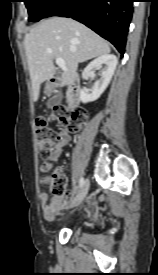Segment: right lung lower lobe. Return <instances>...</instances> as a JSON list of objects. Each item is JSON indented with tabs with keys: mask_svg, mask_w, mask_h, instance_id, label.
I'll list each match as a JSON object with an SVG mask.
<instances>
[{
	"mask_svg": "<svg viewBox=\"0 0 158 275\" xmlns=\"http://www.w3.org/2000/svg\"><path fill=\"white\" fill-rule=\"evenodd\" d=\"M134 0H59L44 18L71 17L110 41L124 54Z\"/></svg>",
	"mask_w": 158,
	"mask_h": 275,
	"instance_id": "right-lung-lower-lobe-1",
	"label": "right lung lower lobe"
}]
</instances>
